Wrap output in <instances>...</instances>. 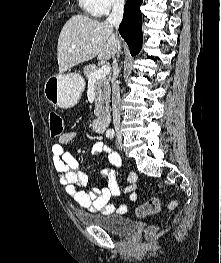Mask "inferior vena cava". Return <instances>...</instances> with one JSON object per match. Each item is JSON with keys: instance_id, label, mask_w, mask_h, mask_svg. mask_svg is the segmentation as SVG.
<instances>
[{"instance_id": "inferior-vena-cava-1", "label": "inferior vena cava", "mask_w": 221, "mask_h": 263, "mask_svg": "<svg viewBox=\"0 0 221 263\" xmlns=\"http://www.w3.org/2000/svg\"><path fill=\"white\" fill-rule=\"evenodd\" d=\"M123 8H124V0H113V7L112 12L107 18V22L112 26L118 29L122 18H123ZM117 36V33H116ZM120 45H118L116 54L119 57L120 52ZM113 71H114V78H113V85H112V112H113V122L115 127L116 136L118 139L122 138V134L120 131V120H121V107H120V87L116 83V78L119 73L117 60H113Z\"/></svg>"}]
</instances>
